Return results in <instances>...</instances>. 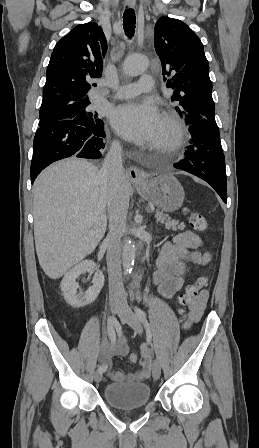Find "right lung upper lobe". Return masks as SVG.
<instances>
[{
  "instance_id": "obj_1",
  "label": "right lung upper lobe",
  "mask_w": 259,
  "mask_h": 448,
  "mask_svg": "<svg viewBox=\"0 0 259 448\" xmlns=\"http://www.w3.org/2000/svg\"><path fill=\"white\" fill-rule=\"evenodd\" d=\"M107 42L95 22L80 24L60 39L51 54L39 114L89 105V82L102 75Z\"/></svg>"
}]
</instances>
